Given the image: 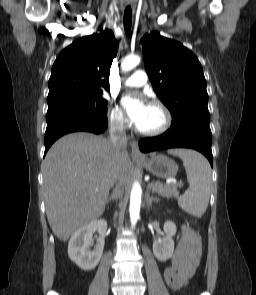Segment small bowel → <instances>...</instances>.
<instances>
[{"label": "small bowel", "mask_w": 256, "mask_h": 295, "mask_svg": "<svg viewBox=\"0 0 256 295\" xmlns=\"http://www.w3.org/2000/svg\"><path fill=\"white\" fill-rule=\"evenodd\" d=\"M200 251V240L196 232L191 226L183 224L172 263L164 272L165 280L172 289L178 290L187 284L199 263Z\"/></svg>", "instance_id": "c3829d8e"}]
</instances>
